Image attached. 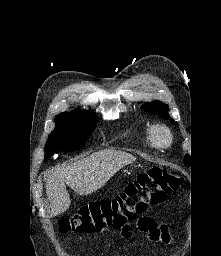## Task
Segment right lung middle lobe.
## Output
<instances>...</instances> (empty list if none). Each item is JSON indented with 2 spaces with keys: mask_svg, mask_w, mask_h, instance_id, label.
<instances>
[{
  "mask_svg": "<svg viewBox=\"0 0 221 256\" xmlns=\"http://www.w3.org/2000/svg\"><path fill=\"white\" fill-rule=\"evenodd\" d=\"M55 129L49 134L45 146V160L53 152L82 146L95 129L96 115L85 110L55 117Z\"/></svg>",
  "mask_w": 221,
  "mask_h": 256,
  "instance_id": "obj_1",
  "label": "right lung middle lobe"
}]
</instances>
